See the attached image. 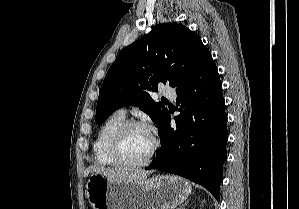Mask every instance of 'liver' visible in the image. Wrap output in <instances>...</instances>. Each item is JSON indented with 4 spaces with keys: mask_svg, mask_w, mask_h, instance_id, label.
I'll list each match as a JSON object with an SVG mask.
<instances>
[{
    "mask_svg": "<svg viewBox=\"0 0 299 209\" xmlns=\"http://www.w3.org/2000/svg\"><path fill=\"white\" fill-rule=\"evenodd\" d=\"M90 173H97L106 176L107 178L117 181V182H141L146 180L150 171L145 170H127V169H111L105 168L99 165L89 166L85 172L84 176L87 177Z\"/></svg>",
    "mask_w": 299,
    "mask_h": 209,
    "instance_id": "liver-1",
    "label": "liver"
}]
</instances>
